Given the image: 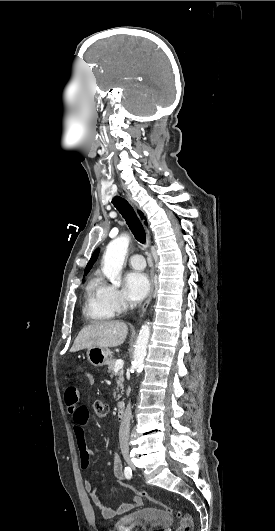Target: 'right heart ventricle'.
Masks as SVG:
<instances>
[{
  "mask_svg": "<svg viewBox=\"0 0 275 531\" xmlns=\"http://www.w3.org/2000/svg\"><path fill=\"white\" fill-rule=\"evenodd\" d=\"M97 285L95 278H91L85 287L84 312L96 321H103L109 316L97 305Z\"/></svg>",
  "mask_w": 275,
  "mask_h": 531,
  "instance_id": "1",
  "label": "right heart ventricle"
}]
</instances>
